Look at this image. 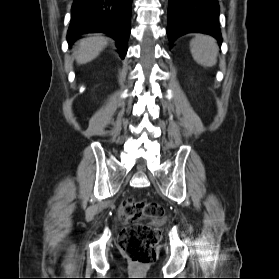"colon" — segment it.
<instances>
[{"label":"colon","mask_w":279,"mask_h":279,"mask_svg":"<svg viewBox=\"0 0 279 279\" xmlns=\"http://www.w3.org/2000/svg\"><path fill=\"white\" fill-rule=\"evenodd\" d=\"M164 214V207L157 202L133 199L122 202L120 215L125 227L120 233L118 245L129 260L142 265L155 261L161 238L156 223Z\"/></svg>","instance_id":"5ec220e1"}]
</instances>
